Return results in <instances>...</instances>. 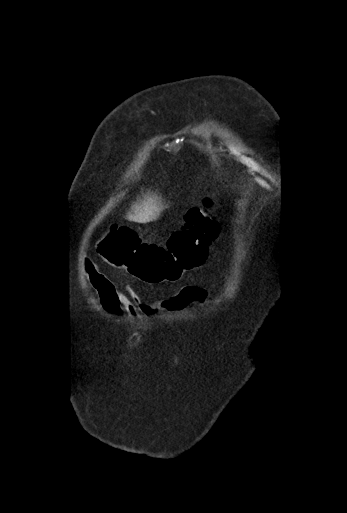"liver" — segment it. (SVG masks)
Listing matches in <instances>:
<instances>
[{"label":"liver","mask_w":347,"mask_h":513,"mask_svg":"<svg viewBox=\"0 0 347 513\" xmlns=\"http://www.w3.org/2000/svg\"><path fill=\"white\" fill-rule=\"evenodd\" d=\"M162 209V206L159 207V205L156 202V197L148 198L146 201L142 203L140 207H137L136 210L139 211V213H142L145 215V217L151 218L158 214ZM131 218V216H129Z\"/></svg>","instance_id":"liver-1"}]
</instances>
